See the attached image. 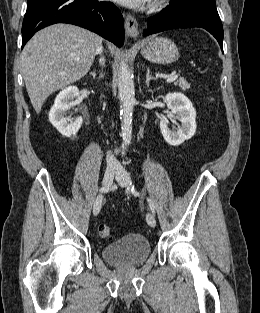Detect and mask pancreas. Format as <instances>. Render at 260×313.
Returning a JSON list of instances; mask_svg holds the SVG:
<instances>
[{
    "mask_svg": "<svg viewBox=\"0 0 260 313\" xmlns=\"http://www.w3.org/2000/svg\"><path fill=\"white\" fill-rule=\"evenodd\" d=\"M174 85L179 86L182 90H187L190 88V83H188L183 77H180L177 81H175Z\"/></svg>",
    "mask_w": 260,
    "mask_h": 313,
    "instance_id": "obj_1",
    "label": "pancreas"
}]
</instances>
